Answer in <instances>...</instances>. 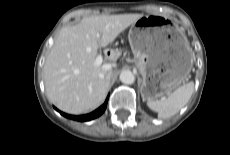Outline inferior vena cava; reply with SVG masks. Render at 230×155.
Returning a JSON list of instances; mask_svg holds the SVG:
<instances>
[{"label": "inferior vena cava", "instance_id": "1", "mask_svg": "<svg viewBox=\"0 0 230 155\" xmlns=\"http://www.w3.org/2000/svg\"><path fill=\"white\" fill-rule=\"evenodd\" d=\"M106 77H107L108 80H110V78H111V73H108V74L106 75Z\"/></svg>", "mask_w": 230, "mask_h": 155}]
</instances>
